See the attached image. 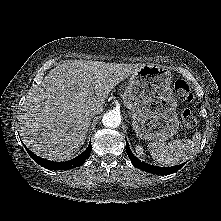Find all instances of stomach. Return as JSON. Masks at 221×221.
Instances as JSON below:
<instances>
[{"label":"stomach","mask_w":221,"mask_h":221,"mask_svg":"<svg viewBox=\"0 0 221 221\" xmlns=\"http://www.w3.org/2000/svg\"><path fill=\"white\" fill-rule=\"evenodd\" d=\"M171 83L170 70L161 65H144L130 76L123 101L140 138L165 140L176 134L179 120Z\"/></svg>","instance_id":"obj_1"}]
</instances>
